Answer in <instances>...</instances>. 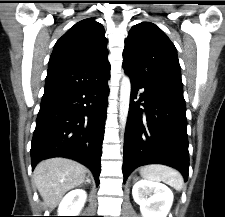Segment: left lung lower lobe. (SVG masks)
Segmentation results:
<instances>
[{"label":"left lung lower lobe","mask_w":225,"mask_h":217,"mask_svg":"<svg viewBox=\"0 0 225 217\" xmlns=\"http://www.w3.org/2000/svg\"><path fill=\"white\" fill-rule=\"evenodd\" d=\"M130 80V107L124 139V182L138 166L153 163L178 169L186 181L189 152L183 92L149 87ZM140 88H144V92L135 101Z\"/></svg>","instance_id":"left-lung-lower-lobe-1"}]
</instances>
